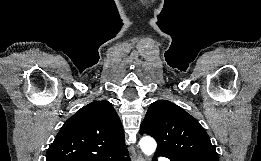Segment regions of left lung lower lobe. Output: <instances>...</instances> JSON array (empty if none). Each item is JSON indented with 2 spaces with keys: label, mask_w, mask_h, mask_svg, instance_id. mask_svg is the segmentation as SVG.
<instances>
[{
  "label": "left lung lower lobe",
  "mask_w": 261,
  "mask_h": 161,
  "mask_svg": "<svg viewBox=\"0 0 261 161\" xmlns=\"http://www.w3.org/2000/svg\"><path fill=\"white\" fill-rule=\"evenodd\" d=\"M156 156H163V155H160V154H157V153H156ZM163 157H165V156H163ZM154 161H156V160H154Z\"/></svg>",
  "instance_id": "obj_1"
}]
</instances>
